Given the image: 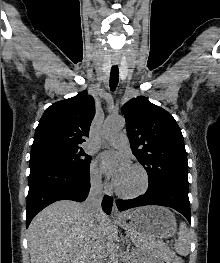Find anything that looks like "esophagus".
<instances>
[{
    "mask_svg": "<svg viewBox=\"0 0 220 263\" xmlns=\"http://www.w3.org/2000/svg\"><path fill=\"white\" fill-rule=\"evenodd\" d=\"M111 215H112V217H121V215H122V214L119 212V210H118V208H117V206H116L115 201H114V203H113Z\"/></svg>",
    "mask_w": 220,
    "mask_h": 263,
    "instance_id": "1",
    "label": "esophagus"
}]
</instances>
